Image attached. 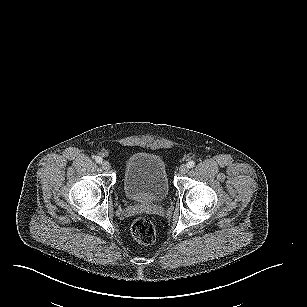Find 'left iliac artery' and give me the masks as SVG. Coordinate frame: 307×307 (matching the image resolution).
<instances>
[{"mask_svg":"<svg viewBox=\"0 0 307 307\" xmlns=\"http://www.w3.org/2000/svg\"><path fill=\"white\" fill-rule=\"evenodd\" d=\"M187 166H188V168H192V167H194L195 166V161H189L188 163H187Z\"/></svg>","mask_w":307,"mask_h":307,"instance_id":"44dca946","label":"left iliac artery"}]
</instances>
